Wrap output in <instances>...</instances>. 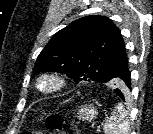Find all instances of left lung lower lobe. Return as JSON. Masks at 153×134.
<instances>
[{"label":"left lung lower lobe","instance_id":"1","mask_svg":"<svg viewBox=\"0 0 153 134\" xmlns=\"http://www.w3.org/2000/svg\"><path fill=\"white\" fill-rule=\"evenodd\" d=\"M118 78L120 79V81H122L126 88H127V91L128 89H131V78H130V71L128 69V66L124 67L123 69H120V71L118 72L117 74ZM114 92L122 99V100H125L124 98V95L126 93H124L123 91L121 90H118V89H114Z\"/></svg>","mask_w":153,"mask_h":134}]
</instances>
